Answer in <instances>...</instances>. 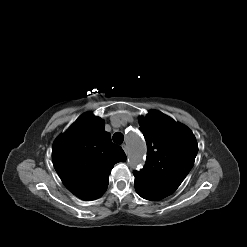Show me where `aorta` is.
Returning a JSON list of instances; mask_svg holds the SVG:
<instances>
[{"mask_svg": "<svg viewBox=\"0 0 247 247\" xmlns=\"http://www.w3.org/2000/svg\"><path fill=\"white\" fill-rule=\"evenodd\" d=\"M126 141L129 151V164L131 167H137L144 159L146 144L136 130L127 132Z\"/></svg>", "mask_w": 247, "mask_h": 247, "instance_id": "762f6f07", "label": "aorta"}]
</instances>
